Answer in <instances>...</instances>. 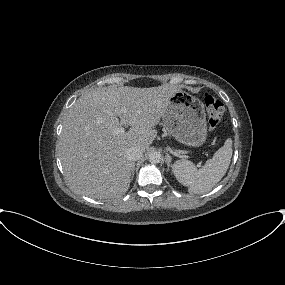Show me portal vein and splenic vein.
<instances>
[{"label": "portal vein and splenic vein", "mask_w": 285, "mask_h": 285, "mask_svg": "<svg viewBox=\"0 0 285 285\" xmlns=\"http://www.w3.org/2000/svg\"><path fill=\"white\" fill-rule=\"evenodd\" d=\"M126 110L125 109H121L119 111H116V114L120 115L122 113H125ZM117 134L118 133H124L125 132V129L123 127H120V128H117L116 131H115Z\"/></svg>", "instance_id": "18ae733b"}]
</instances>
